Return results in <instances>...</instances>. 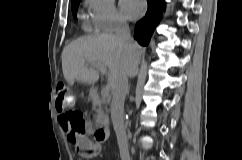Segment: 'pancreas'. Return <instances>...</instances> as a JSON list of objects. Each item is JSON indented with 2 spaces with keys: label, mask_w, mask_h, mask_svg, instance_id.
Instances as JSON below:
<instances>
[{
  "label": "pancreas",
  "mask_w": 242,
  "mask_h": 160,
  "mask_svg": "<svg viewBox=\"0 0 242 160\" xmlns=\"http://www.w3.org/2000/svg\"><path fill=\"white\" fill-rule=\"evenodd\" d=\"M95 122L96 125L109 123V117L107 114L104 113L103 109H96Z\"/></svg>",
  "instance_id": "1"
}]
</instances>
